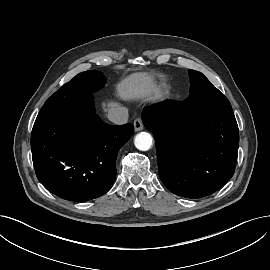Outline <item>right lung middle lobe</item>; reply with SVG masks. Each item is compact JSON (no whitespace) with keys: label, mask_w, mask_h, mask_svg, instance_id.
Here are the masks:
<instances>
[{"label":"right lung middle lobe","mask_w":270,"mask_h":270,"mask_svg":"<svg viewBox=\"0 0 270 270\" xmlns=\"http://www.w3.org/2000/svg\"><path fill=\"white\" fill-rule=\"evenodd\" d=\"M104 83L105 77L96 70L80 73L50 96L43 107L92 96V93L99 90Z\"/></svg>","instance_id":"right-lung-middle-lobe-1"}]
</instances>
